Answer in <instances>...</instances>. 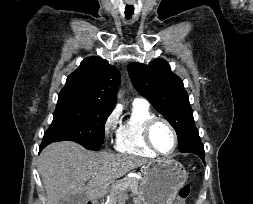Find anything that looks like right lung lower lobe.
<instances>
[{"mask_svg": "<svg viewBox=\"0 0 253 204\" xmlns=\"http://www.w3.org/2000/svg\"><path fill=\"white\" fill-rule=\"evenodd\" d=\"M48 144H50V143H49V142L42 141V144H41V146H40V148H39V152H40L45 146H47Z\"/></svg>", "mask_w": 253, "mask_h": 204, "instance_id": "right-lung-lower-lobe-1", "label": "right lung lower lobe"}]
</instances>
